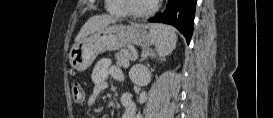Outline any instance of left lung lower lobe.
Wrapping results in <instances>:
<instances>
[{
    "instance_id": "left-lung-lower-lobe-1",
    "label": "left lung lower lobe",
    "mask_w": 273,
    "mask_h": 118,
    "mask_svg": "<svg viewBox=\"0 0 273 118\" xmlns=\"http://www.w3.org/2000/svg\"><path fill=\"white\" fill-rule=\"evenodd\" d=\"M196 3L197 0H168L164 12L150 18L148 21L174 26L185 36L189 44L193 33Z\"/></svg>"
}]
</instances>
